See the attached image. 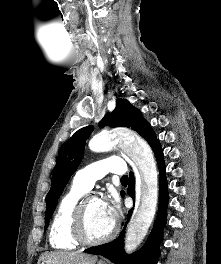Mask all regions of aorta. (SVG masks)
Listing matches in <instances>:
<instances>
[{
	"label": "aorta",
	"instance_id": "obj_1",
	"mask_svg": "<svg viewBox=\"0 0 221 264\" xmlns=\"http://www.w3.org/2000/svg\"><path fill=\"white\" fill-rule=\"evenodd\" d=\"M119 144L139 170L136 185L137 209L129 223L125 235V251L132 253L145 238L155 216L158 201L157 168L150 146L134 135L99 133L89 142L96 151H105Z\"/></svg>",
	"mask_w": 221,
	"mask_h": 264
}]
</instances>
